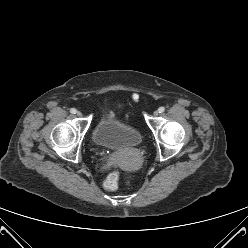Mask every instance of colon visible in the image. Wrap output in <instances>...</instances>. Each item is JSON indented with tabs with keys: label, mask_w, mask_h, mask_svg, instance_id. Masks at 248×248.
I'll use <instances>...</instances> for the list:
<instances>
[{
	"label": "colon",
	"mask_w": 248,
	"mask_h": 248,
	"mask_svg": "<svg viewBox=\"0 0 248 248\" xmlns=\"http://www.w3.org/2000/svg\"><path fill=\"white\" fill-rule=\"evenodd\" d=\"M134 176L128 174L125 177L127 183H130L133 180ZM119 175L116 172H112L104 182V188L108 191H114L118 188Z\"/></svg>",
	"instance_id": "obj_1"
}]
</instances>
